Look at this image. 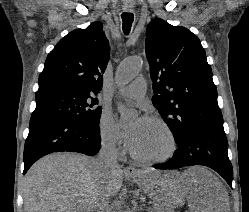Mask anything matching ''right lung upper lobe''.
I'll list each match as a JSON object with an SVG mask.
<instances>
[{
	"mask_svg": "<svg viewBox=\"0 0 249 212\" xmlns=\"http://www.w3.org/2000/svg\"><path fill=\"white\" fill-rule=\"evenodd\" d=\"M110 55L103 26L94 22L63 37L48 54L36 95L49 92L96 94Z\"/></svg>",
	"mask_w": 249,
	"mask_h": 212,
	"instance_id": "obj_1",
	"label": "right lung upper lobe"
}]
</instances>
